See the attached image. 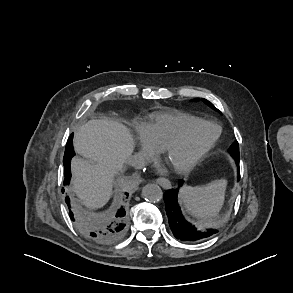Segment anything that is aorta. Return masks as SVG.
<instances>
[{
    "label": "aorta",
    "mask_w": 293,
    "mask_h": 293,
    "mask_svg": "<svg viewBox=\"0 0 293 293\" xmlns=\"http://www.w3.org/2000/svg\"><path fill=\"white\" fill-rule=\"evenodd\" d=\"M142 196L149 202H158L162 199L163 192L157 184H147L142 189Z\"/></svg>",
    "instance_id": "762f6f07"
}]
</instances>
